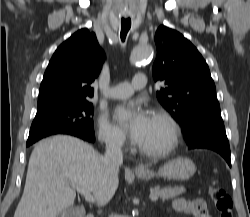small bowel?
Listing matches in <instances>:
<instances>
[{
	"instance_id": "small-bowel-1",
	"label": "small bowel",
	"mask_w": 250,
	"mask_h": 217,
	"mask_svg": "<svg viewBox=\"0 0 250 217\" xmlns=\"http://www.w3.org/2000/svg\"><path fill=\"white\" fill-rule=\"evenodd\" d=\"M171 208L175 212L190 214L195 217H212L207 211L205 200L202 198L193 200L178 198L174 200Z\"/></svg>"
}]
</instances>
